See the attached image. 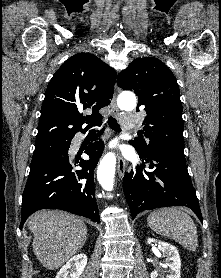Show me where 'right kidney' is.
Segmentation results:
<instances>
[{"instance_id": "obj_1", "label": "right kidney", "mask_w": 221, "mask_h": 278, "mask_svg": "<svg viewBox=\"0 0 221 278\" xmlns=\"http://www.w3.org/2000/svg\"><path fill=\"white\" fill-rule=\"evenodd\" d=\"M87 264V256L83 253L73 256L60 269L55 278H79Z\"/></svg>"}]
</instances>
